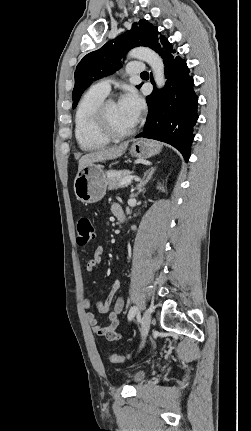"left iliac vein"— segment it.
Returning a JSON list of instances; mask_svg holds the SVG:
<instances>
[{"mask_svg":"<svg viewBox=\"0 0 251 431\" xmlns=\"http://www.w3.org/2000/svg\"><path fill=\"white\" fill-rule=\"evenodd\" d=\"M150 325H151V313L149 310H145L142 316V323H141V329H140L143 341L148 335Z\"/></svg>","mask_w":251,"mask_h":431,"instance_id":"1","label":"left iliac vein"}]
</instances>
